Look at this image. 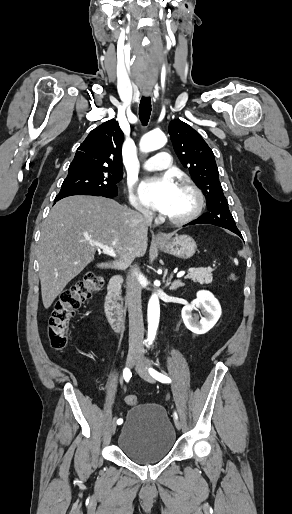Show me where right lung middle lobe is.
Returning a JSON list of instances; mask_svg holds the SVG:
<instances>
[{"label":"right lung middle lobe","instance_id":"dd1d6c3e","mask_svg":"<svg viewBox=\"0 0 292 514\" xmlns=\"http://www.w3.org/2000/svg\"><path fill=\"white\" fill-rule=\"evenodd\" d=\"M123 173H68L63 181L59 194L55 197L77 194H103L116 196L117 183L121 181Z\"/></svg>","mask_w":292,"mask_h":514}]
</instances>
